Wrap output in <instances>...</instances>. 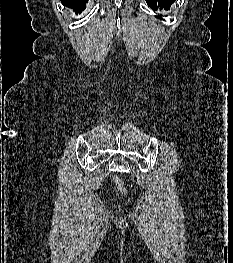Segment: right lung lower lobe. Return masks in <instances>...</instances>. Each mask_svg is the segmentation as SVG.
Wrapping results in <instances>:
<instances>
[{
	"label": "right lung lower lobe",
	"instance_id": "98d812e1",
	"mask_svg": "<svg viewBox=\"0 0 233 263\" xmlns=\"http://www.w3.org/2000/svg\"><path fill=\"white\" fill-rule=\"evenodd\" d=\"M88 0H61L62 4L66 7L72 8L76 13H81L85 8Z\"/></svg>",
	"mask_w": 233,
	"mask_h": 263
}]
</instances>
